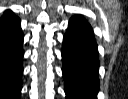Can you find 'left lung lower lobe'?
<instances>
[{"mask_svg": "<svg viewBox=\"0 0 128 99\" xmlns=\"http://www.w3.org/2000/svg\"><path fill=\"white\" fill-rule=\"evenodd\" d=\"M66 99H96L99 90V54L90 24L72 17L62 48Z\"/></svg>", "mask_w": 128, "mask_h": 99, "instance_id": "0a47b994", "label": "left lung lower lobe"}]
</instances>
